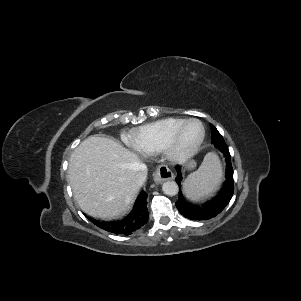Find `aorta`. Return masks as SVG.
Segmentation results:
<instances>
[{
    "mask_svg": "<svg viewBox=\"0 0 301 301\" xmlns=\"http://www.w3.org/2000/svg\"><path fill=\"white\" fill-rule=\"evenodd\" d=\"M162 190L166 195L175 196L178 194V185L174 181H166L162 185Z\"/></svg>",
    "mask_w": 301,
    "mask_h": 301,
    "instance_id": "aorta-1",
    "label": "aorta"
}]
</instances>
